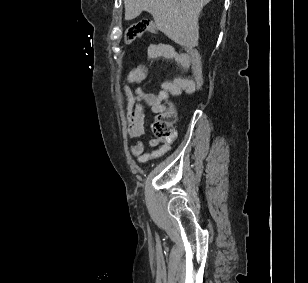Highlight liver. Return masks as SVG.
Segmentation results:
<instances>
[{
  "label": "liver",
  "instance_id": "liver-1",
  "mask_svg": "<svg viewBox=\"0 0 308 283\" xmlns=\"http://www.w3.org/2000/svg\"><path fill=\"white\" fill-rule=\"evenodd\" d=\"M211 0H124L125 19L132 20L142 11L150 13L156 27L175 43L198 45V18Z\"/></svg>",
  "mask_w": 308,
  "mask_h": 283
}]
</instances>
